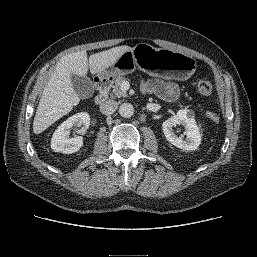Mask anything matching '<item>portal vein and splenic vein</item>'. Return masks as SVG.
I'll list each match as a JSON object with an SVG mask.
<instances>
[{
	"instance_id": "1",
	"label": "portal vein and splenic vein",
	"mask_w": 257,
	"mask_h": 257,
	"mask_svg": "<svg viewBox=\"0 0 257 257\" xmlns=\"http://www.w3.org/2000/svg\"><path fill=\"white\" fill-rule=\"evenodd\" d=\"M129 83L127 82V81H124L123 83H122V90H128L129 89Z\"/></svg>"
}]
</instances>
